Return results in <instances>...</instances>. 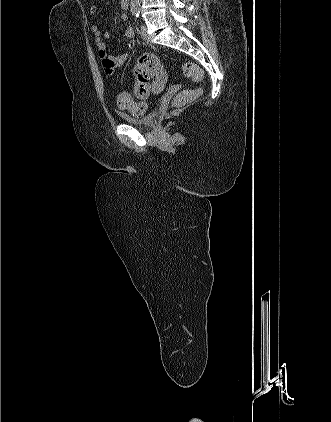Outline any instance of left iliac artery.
<instances>
[{
    "label": "left iliac artery",
    "mask_w": 331,
    "mask_h": 422,
    "mask_svg": "<svg viewBox=\"0 0 331 422\" xmlns=\"http://www.w3.org/2000/svg\"><path fill=\"white\" fill-rule=\"evenodd\" d=\"M134 14H135L136 18H139V12L138 11L135 12Z\"/></svg>",
    "instance_id": "left-iliac-artery-1"
}]
</instances>
